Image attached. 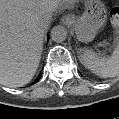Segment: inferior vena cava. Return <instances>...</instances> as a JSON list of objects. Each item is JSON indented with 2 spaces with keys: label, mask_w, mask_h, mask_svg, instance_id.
Wrapping results in <instances>:
<instances>
[{
  "label": "inferior vena cava",
  "mask_w": 119,
  "mask_h": 119,
  "mask_svg": "<svg viewBox=\"0 0 119 119\" xmlns=\"http://www.w3.org/2000/svg\"><path fill=\"white\" fill-rule=\"evenodd\" d=\"M45 28H46V25H45V24H41V25H40V30L43 31Z\"/></svg>",
  "instance_id": "obj_1"
}]
</instances>
